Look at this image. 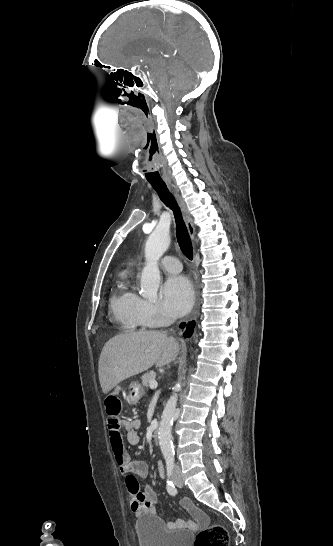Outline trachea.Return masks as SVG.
Returning a JSON list of instances; mask_svg holds the SVG:
<instances>
[{"label": "trachea", "mask_w": 333, "mask_h": 546, "mask_svg": "<svg viewBox=\"0 0 333 546\" xmlns=\"http://www.w3.org/2000/svg\"><path fill=\"white\" fill-rule=\"evenodd\" d=\"M153 175H158L159 172L152 173ZM154 190L158 193L160 199L168 206L173 212L176 222V234L178 238V243L183 254L190 260L193 259V247L188 234L187 227L183 220L181 211L174 200L173 196L169 193L166 184H157L151 183Z\"/></svg>", "instance_id": "trachea-1"}]
</instances>
